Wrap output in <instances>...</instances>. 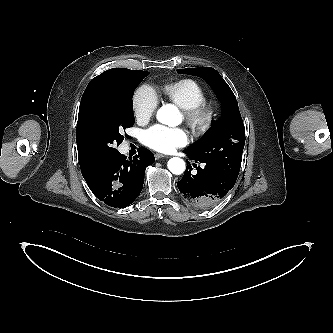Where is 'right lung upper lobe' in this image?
Returning a JSON list of instances; mask_svg holds the SVG:
<instances>
[{"label": "right lung upper lobe", "mask_w": 333, "mask_h": 333, "mask_svg": "<svg viewBox=\"0 0 333 333\" xmlns=\"http://www.w3.org/2000/svg\"><path fill=\"white\" fill-rule=\"evenodd\" d=\"M132 71L134 70H129L126 68L109 69L92 79L83 93L79 107L78 122L76 128V141L81 173L85 180L89 179L103 165L92 160L81 146V128L89 111L91 100L94 94L100 88L111 83L117 77L128 74Z\"/></svg>", "instance_id": "obj_1"}]
</instances>
